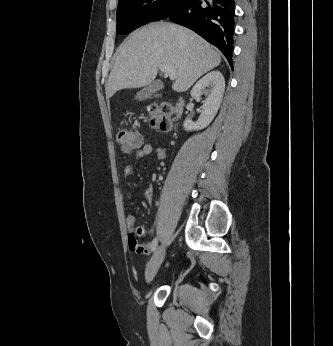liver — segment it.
I'll return each mask as SVG.
<instances>
[{"instance_id": "6515ba94", "label": "liver", "mask_w": 333, "mask_h": 346, "mask_svg": "<svg viewBox=\"0 0 333 346\" xmlns=\"http://www.w3.org/2000/svg\"><path fill=\"white\" fill-rule=\"evenodd\" d=\"M220 62V53L193 31L170 23H152L120 45L106 85L107 97L121 89L151 84L162 64L177 73L172 89L184 92Z\"/></svg>"}]
</instances>
